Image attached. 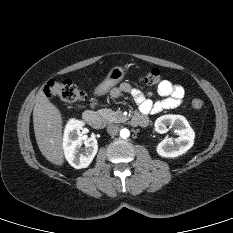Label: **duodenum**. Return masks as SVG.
I'll list each match as a JSON object with an SVG mask.
<instances>
[{
  "instance_id": "1",
  "label": "duodenum",
  "mask_w": 233,
  "mask_h": 233,
  "mask_svg": "<svg viewBox=\"0 0 233 233\" xmlns=\"http://www.w3.org/2000/svg\"><path fill=\"white\" fill-rule=\"evenodd\" d=\"M83 119L93 128L100 129L104 126V119L94 110H87L83 114ZM133 122L137 125H145L147 123L145 118H133Z\"/></svg>"
}]
</instances>
